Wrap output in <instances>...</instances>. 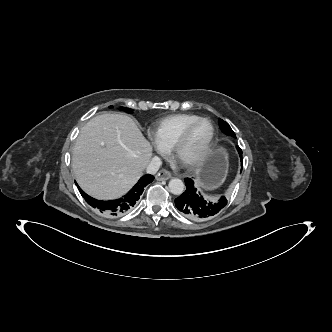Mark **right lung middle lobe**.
<instances>
[{"label":"right lung middle lobe","mask_w":332,"mask_h":332,"mask_svg":"<svg viewBox=\"0 0 332 332\" xmlns=\"http://www.w3.org/2000/svg\"><path fill=\"white\" fill-rule=\"evenodd\" d=\"M122 110H124V111H126V112H128V113H131L132 112V110L131 109H129V108H121Z\"/></svg>","instance_id":"obj_1"}]
</instances>
